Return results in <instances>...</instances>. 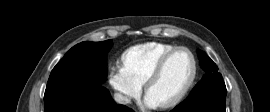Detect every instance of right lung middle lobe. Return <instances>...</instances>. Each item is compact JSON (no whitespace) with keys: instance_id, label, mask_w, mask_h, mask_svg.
Segmentation results:
<instances>
[{"instance_id":"dd1d6c3e","label":"right lung middle lobe","mask_w":270,"mask_h":112,"mask_svg":"<svg viewBox=\"0 0 270 112\" xmlns=\"http://www.w3.org/2000/svg\"><path fill=\"white\" fill-rule=\"evenodd\" d=\"M112 46V40L81 42L72 47L53 68L47 89L69 83L94 88L101 86L105 78L104 55Z\"/></svg>"}]
</instances>
